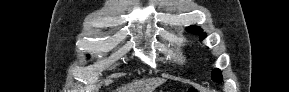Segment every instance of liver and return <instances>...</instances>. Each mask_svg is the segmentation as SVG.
<instances>
[{"instance_id":"1","label":"liver","mask_w":289,"mask_h":92,"mask_svg":"<svg viewBox=\"0 0 289 92\" xmlns=\"http://www.w3.org/2000/svg\"><path fill=\"white\" fill-rule=\"evenodd\" d=\"M166 82L163 78H150L136 81L128 86L118 89V92H153L158 86Z\"/></svg>"}]
</instances>
